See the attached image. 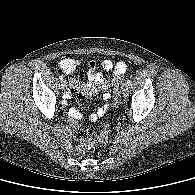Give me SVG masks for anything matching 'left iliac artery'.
<instances>
[{
	"label": "left iliac artery",
	"instance_id": "left-iliac-artery-1",
	"mask_svg": "<svg viewBox=\"0 0 195 195\" xmlns=\"http://www.w3.org/2000/svg\"><path fill=\"white\" fill-rule=\"evenodd\" d=\"M126 83H127L128 85H130V84H131V80L128 79V80L126 81Z\"/></svg>",
	"mask_w": 195,
	"mask_h": 195
}]
</instances>
